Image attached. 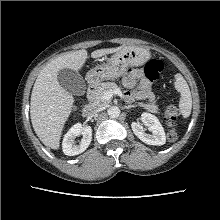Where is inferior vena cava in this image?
I'll list each match as a JSON object with an SVG mask.
<instances>
[{
	"label": "inferior vena cava",
	"mask_w": 220,
	"mask_h": 220,
	"mask_svg": "<svg viewBox=\"0 0 220 220\" xmlns=\"http://www.w3.org/2000/svg\"><path fill=\"white\" fill-rule=\"evenodd\" d=\"M100 111H101L100 109H93V110L89 113V115H90V116H93V115L97 114V113L100 112Z\"/></svg>",
	"instance_id": "obj_1"
}]
</instances>
